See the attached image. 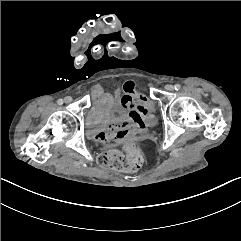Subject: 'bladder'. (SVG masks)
I'll return each instance as SVG.
<instances>
[{
	"label": "bladder",
	"instance_id": "1",
	"mask_svg": "<svg viewBox=\"0 0 241 241\" xmlns=\"http://www.w3.org/2000/svg\"><path fill=\"white\" fill-rule=\"evenodd\" d=\"M124 115H125V108L121 103H118L112 112V116L115 119L120 120L124 117Z\"/></svg>",
	"mask_w": 241,
	"mask_h": 241
}]
</instances>
